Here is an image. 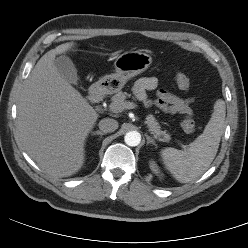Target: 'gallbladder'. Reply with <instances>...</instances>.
<instances>
[{
  "instance_id": "bac80fb5",
  "label": "gallbladder",
  "mask_w": 248,
  "mask_h": 248,
  "mask_svg": "<svg viewBox=\"0 0 248 248\" xmlns=\"http://www.w3.org/2000/svg\"><path fill=\"white\" fill-rule=\"evenodd\" d=\"M54 65L58 73L69 83L77 85L78 84V75L75 65L72 60L65 55L58 56L54 60Z\"/></svg>"
}]
</instances>
